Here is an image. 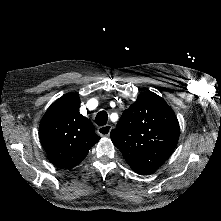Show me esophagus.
I'll return each mask as SVG.
<instances>
[{"label": "esophagus", "instance_id": "34e87169", "mask_svg": "<svg viewBox=\"0 0 221 221\" xmlns=\"http://www.w3.org/2000/svg\"><path fill=\"white\" fill-rule=\"evenodd\" d=\"M112 125L108 124L97 128V132L102 137H109Z\"/></svg>", "mask_w": 221, "mask_h": 221}]
</instances>
